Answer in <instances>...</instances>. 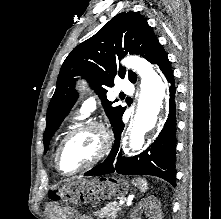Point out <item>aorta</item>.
Segmentation results:
<instances>
[{
    "instance_id": "762f6f07",
    "label": "aorta",
    "mask_w": 221,
    "mask_h": 219,
    "mask_svg": "<svg viewBox=\"0 0 221 219\" xmlns=\"http://www.w3.org/2000/svg\"><path fill=\"white\" fill-rule=\"evenodd\" d=\"M122 64L141 77V91L129 134V147L138 150L144 143L145 134L155 127L164 106L167 85L154 70L153 65L138 56H128Z\"/></svg>"
}]
</instances>
